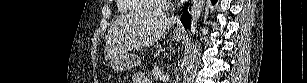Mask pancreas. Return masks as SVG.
Wrapping results in <instances>:
<instances>
[{"mask_svg":"<svg viewBox=\"0 0 307 83\" xmlns=\"http://www.w3.org/2000/svg\"><path fill=\"white\" fill-rule=\"evenodd\" d=\"M163 69L159 67H155L151 72V76L155 79H159L163 75Z\"/></svg>","mask_w":307,"mask_h":83,"instance_id":"pancreas-1","label":"pancreas"}]
</instances>
